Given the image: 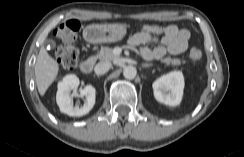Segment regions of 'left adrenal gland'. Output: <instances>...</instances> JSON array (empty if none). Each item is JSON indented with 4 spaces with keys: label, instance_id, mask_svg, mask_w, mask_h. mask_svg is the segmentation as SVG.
I'll return each instance as SVG.
<instances>
[{
    "label": "left adrenal gland",
    "instance_id": "1",
    "mask_svg": "<svg viewBox=\"0 0 244 157\" xmlns=\"http://www.w3.org/2000/svg\"><path fill=\"white\" fill-rule=\"evenodd\" d=\"M153 64L152 63H144L142 64V68H148L151 67Z\"/></svg>",
    "mask_w": 244,
    "mask_h": 157
}]
</instances>
